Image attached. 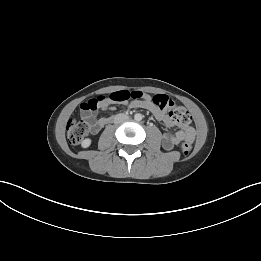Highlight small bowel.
Segmentation results:
<instances>
[{
    "label": "small bowel",
    "mask_w": 261,
    "mask_h": 261,
    "mask_svg": "<svg viewBox=\"0 0 261 261\" xmlns=\"http://www.w3.org/2000/svg\"><path fill=\"white\" fill-rule=\"evenodd\" d=\"M135 107H139L150 111L157 120L165 123L168 127L175 126V122L169 117L167 111H161L151 100L148 95L143 101L134 103ZM108 105L104 106L107 108ZM110 122V117H100L98 119L91 118L90 130L92 134L98 133L106 124ZM194 129L191 126H182L174 134H165L162 138V146L165 150L171 151L176 145L186 138H193Z\"/></svg>",
    "instance_id": "1"
}]
</instances>
